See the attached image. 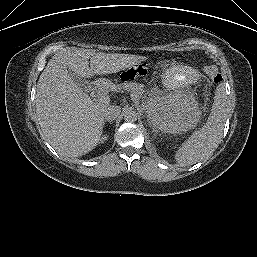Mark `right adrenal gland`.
<instances>
[{
    "label": "right adrenal gland",
    "mask_w": 257,
    "mask_h": 257,
    "mask_svg": "<svg viewBox=\"0 0 257 257\" xmlns=\"http://www.w3.org/2000/svg\"><path fill=\"white\" fill-rule=\"evenodd\" d=\"M107 122L111 124L113 122V120H105L104 121V123H107Z\"/></svg>",
    "instance_id": "right-adrenal-gland-1"
}]
</instances>
